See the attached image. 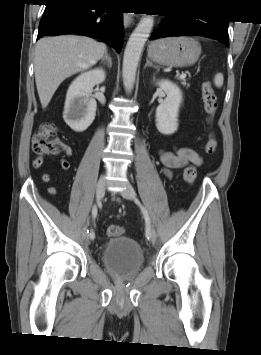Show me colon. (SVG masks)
I'll return each instance as SVG.
<instances>
[{"mask_svg": "<svg viewBox=\"0 0 261 355\" xmlns=\"http://www.w3.org/2000/svg\"><path fill=\"white\" fill-rule=\"evenodd\" d=\"M202 98L204 109L207 114L208 122L211 124L217 110V99L210 82H205L202 86ZM32 148L39 158L59 156L65 149L64 142L57 136V131L52 124H43L35 134L32 142ZM217 148V139L213 132L205 144V152L213 154ZM197 176V170L194 165H188L183 171L184 180L192 184ZM124 232L122 226L111 225L107 228L108 237H118Z\"/></svg>", "mask_w": 261, "mask_h": 355, "instance_id": "obj_1", "label": "colon"}]
</instances>
